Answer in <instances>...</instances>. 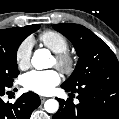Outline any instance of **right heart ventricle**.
<instances>
[{
	"label": "right heart ventricle",
	"mask_w": 119,
	"mask_h": 119,
	"mask_svg": "<svg viewBox=\"0 0 119 119\" xmlns=\"http://www.w3.org/2000/svg\"><path fill=\"white\" fill-rule=\"evenodd\" d=\"M39 40L54 53L64 52L69 48V42L67 38L57 31H44L39 35Z\"/></svg>",
	"instance_id": "e07e8e85"
}]
</instances>
